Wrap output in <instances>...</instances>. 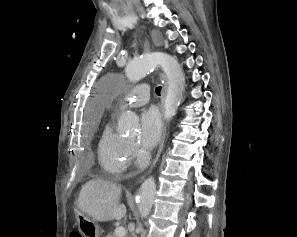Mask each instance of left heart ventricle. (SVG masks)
I'll use <instances>...</instances> for the list:
<instances>
[{
    "label": "left heart ventricle",
    "instance_id": "left-heart-ventricle-1",
    "mask_svg": "<svg viewBox=\"0 0 297 237\" xmlns=\"http://www.w3.org/2000/svg\"><path fill=\"white\" fill-rule=\"evenodd\" d=\"M135 139H136L135 136H131V137H129V140H131V141H133V140H135Z\"/></svg>",
    "mask_w": 297,
    "mask_h": 237
}]
</instances>
